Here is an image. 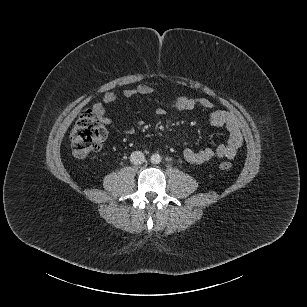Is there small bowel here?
Returning <instances> with one entry per match:
<instances>
[{
	"label": "small bowel",
	"mask_w": 307,
	"mask_h": 307,
	"mask_svg": "<svg viewBox=\"0 0 307 307\" xmlns=\"http://www.w3.org/2000/svg\"><path fill=\"white\" fill-rule=\"evenodd\" d=\"M153 92V87L145 83L139 84L135 88L125 89L120 92L109 91L103 95L102 102H96L93 105L92 110L102 124L111 126L113 121L109 116L105 105L114 104L120 98L129 99L137 96H146ZM174 106L178 111H191L198 107L203 108L208 111V121L214 126L224 128L228 133L226 143L220 144L214 148L194 150L190 147H186L183 151V156L188 163L202 164L211 159H232L235 157L243 143V137L237 121L231 114L222 110H214L213 103L209 99L203 97L191 98L180 96L175 100ZM156 113L160 114V109H157ZM134 131V127H129L123 130V132L127 134H132Z\"/></svg>",
	"instance_id": "1"
}]
</instances>
